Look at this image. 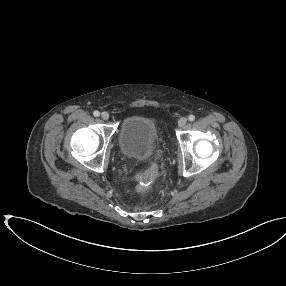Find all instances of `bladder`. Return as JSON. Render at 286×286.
I'll use <instances>...</instances> for the list:
<instances>
[{"label": "bladder", "instance_id": "31cf9c89", "mask_svg": "<svg viewBox=\"0 0 286 286\" xmlns=\"http://www.w3.org/2000/svg\"><path fill=\"white\" fill-rule=\"evenodd\" d=\"M158 133L154 121L144 115L126 117L120 126V154L133 160H147L158 150Z\"/></svg>", "mask_w": 286, "mask_h": 286}]
</instances>
